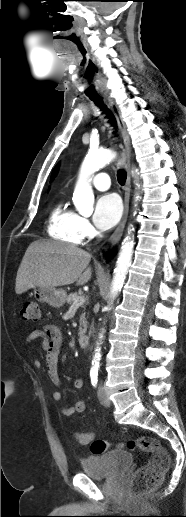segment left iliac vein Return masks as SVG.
<instances>
[{
	"instance_id": "1",
	"label": "left iliac vein",
	"mask_w": 186,
	"mask_h": 517,
	"mask_svg": "<svg viewBox=\"0 0 186 517\" xmlns=\"http://www.w3.org/2000/svg\"><path fill=\"white\" fill-rule=\"evenodd\" d=\"M98 398H99L100 403L103 406H105V407L110 406L111 402H110L109 398L107 397L104 387L102 385L98 389Z\"/></svg>"
}]
</instances>
